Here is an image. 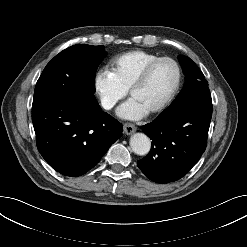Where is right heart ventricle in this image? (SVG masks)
<instances>
[{
  "mask_svg": "<svg viewBox=\"0 0 247 247\" xmlns=\"http://www.w3.org/2000/svg\"><path fill=\"white\" fill-rule=\"evenodd\" d=\"M156 58H158L157 55L143 50L126 52L112 60L111 74L121 87L129 90L143 68Z\"/></svg>",
  "mask_w": 247,
  "mask_h": 247,
  "instance_id": "e07e8e85",
  "label": "right heart ventricle"
}]
</instances>
